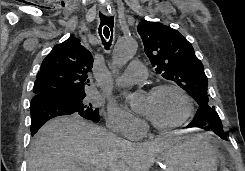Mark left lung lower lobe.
<instances>
[{"label":"left lung lower lobe","instance_id":"0a47b994","mask_svg":"<svg viewBox=\"0 0 245 171\" xmlns=\"http://www.w3.org/2000/svg\"><path fill=\"white\" fill-rule=\"evenodd\" d=\"M187 127H198L205 130H212L222 139L227 140V136L223 131L222 122L215 111V108L211 106L200 108L192 122L189 123Z\"/></svg>","mask_w":245,"mask_h":171}]
</instances>
